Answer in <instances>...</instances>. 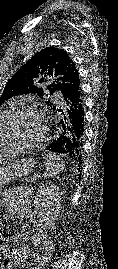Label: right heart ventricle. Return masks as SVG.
I'll use <instances>...</instances> for the list:
<instances>
[{
    "label": "right heart ventricle",
    "mask_w": 118,
    "mask_h": 269,
    "mask_svg": "<svg viewBox=\"0 0 118 269\" xmlns=\"http://www.w3.org/2000/svg\"><path fill=\"white\" fill-rule=\"evenodd\" d=\"M7 114L8 112L5 110L0 111V123L3 121V119L5 118ZM18 153H20L19 150H3L2 146L0 145V158L13 156Z\"/></svg>",
    "instance_id": "1"
}]
</instances>
